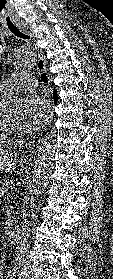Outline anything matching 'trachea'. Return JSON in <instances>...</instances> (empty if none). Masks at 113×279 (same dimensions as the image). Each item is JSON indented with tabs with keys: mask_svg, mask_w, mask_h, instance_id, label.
I'll use <instances>...</instances> for the list:
<instances>
[{
	"mask_svg": "<svg viewBox=\"0 0 113 279\" xmlns=\"http://www.w3.org/2000/svg\"><path fill=\"white\" fill-rule=\"evenodd\" d=\"M8 28L10 29V31L15 34L16 36L20 37V38H23V39H29V36L24 34L22 31H20L16 26L14 25H11V26H8ZM41 80L44 82V83H47L48 79H47V76H46V73H43L41 74Z\"/></svg>",
	"mask_w": 113,
	"mask_h": 279,
	"instance_id": "obj_1",
	"label": "trachea"
}]
</instances>
